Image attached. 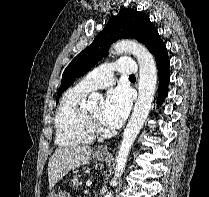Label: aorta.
Returning a JSON list of instances; mask_svg holds the SVG:
<instances>
[{
	"label": "aorta",
	"mask_w": 209,
	"mask_h": 197,
	"mask_svg": "<svg viewBox=\"0 0 209 197\" xmlns=\"http://www.w3.org/2000/svg\"><path fill=\"white\" fill-rule=\"evenodd\" d=\"M131 53L138 61L140 68L139 93L135 103L132 116L123 132L119 150L116 156V172L112 180V185L117 183V178L121 176L126 166L131 147L147 116L150 112L154 93L157 84V68L153 55L142 44L132 40L118 41L113 45L112 54ZM101 98L99 93H92L88 97L87 105H96ZM105 197H112L111 192Z\"/></svg>",
	"instance_id": "aorta-1"
}]
</instances>
